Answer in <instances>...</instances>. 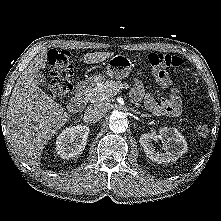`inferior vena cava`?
Returning a JSON list of instances; mask_svg holds the SVG:
<instances>
[{"instance_id": "602c4592", "label": "inferior vena cava", "mask_w": 221, "mask_h": 221, "mask_svg": "<svg viewBox=\"0 0 221 221\" xmlns=\"http://www.w3.org/2000/svg\"><path fill=\"white\" fill-rule=\"evenodd\" d=\"M107 112V107L105 104H95L90 105L87 107L85 114H84V120L86 122L90 123H96L101 120V118L105 115Z\"/></svg>"}]
</instances>
